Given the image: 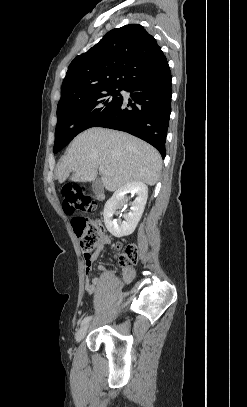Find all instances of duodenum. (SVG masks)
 <instances>
[{
	"instance_id": "410a0bca",
	"label": "duodenum",
	"mask_w": 247,
	"mask_h": 407,
	"mask_svg": "<svg viewBox=\"0 0 247 407\" xmlns=\"http://www.w3.org/2000/svg\"><path fill=\"white\" fill-rule=\"evenodd\" d=\"M97 199H98L99 201H101V200L103 199V196H102V195H97Z\"/></svg>"
}]
</instances>
